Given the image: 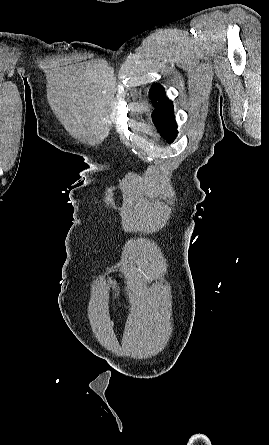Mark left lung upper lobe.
<instances>
[{"mask_svg": "<svg viewBox=\"0 0 269 445\" xmlns=\"http://www.w3.org/2000/svg\"><path fill=\"white\" fill-rule=\"evenodd\" d=\"M149 97L154 102L152 119L155 126L168 143L173 142L177 136V125L172 102L167 99L164 88L158 83L150 88Z\"/></svg>", "mask_w": 269, "mask_h": 445, "instance_id": "left-lung-upper-lobe-1", "label": "left lung upper lobe"}]
</instances>
